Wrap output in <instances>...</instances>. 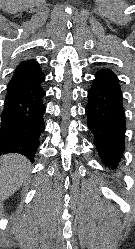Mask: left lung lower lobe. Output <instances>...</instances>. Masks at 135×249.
I'll use <instances>...</instances> for the list:
<instances>
[{
  "label": "left lung lower lobe",
  "instance_id": "left-lung-lower-lobe-1",
  "mask_svg": "<svg viewBox=\"0 0 135 249\" xmlns=\"http://www.w3.org/2000/svg\"><path fill=\"white\" fill-rule=\"evenodd\" d=\"M87 126L105 167L116 168L125 150L126 118L117 75L108 68L96 72L88 91Z\"/></svg>",
  "mask_w": 135,
  "mask_h": 249
}]
</instances>
